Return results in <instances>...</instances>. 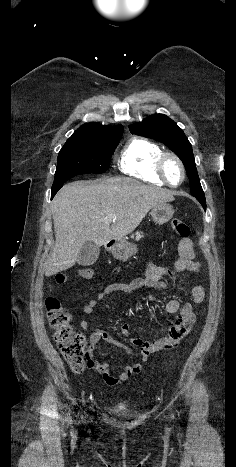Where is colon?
Instances as JSON below:
<instances>
[{
  "label": "colon",
  "mask_w": 236,
  "mask_h": 467,
  "mask_svg": "<svg viewBox=\"0 0 236 467\" xmlns=\"http://www.w3.org/2000/svg\"><path fill=\"white\" fill-rule=\"evenodd\" d=\"M173 231L181 238L187 239L190 235L189 226L179 218L170 222ZM94 270L90 267H82L78 270V276L82 279H91ZM67 281L65 274L55 276L52 286H61ZM47 320L54 333V339L58 349L73 372H82L89 367L91 354L87 349L86 338L83 334L74 331L71 326V315L65 310L60 300L56 297H48L45 302Z\"/></svg>",
  "instance_id": "obj_1"
}]
</instances>
